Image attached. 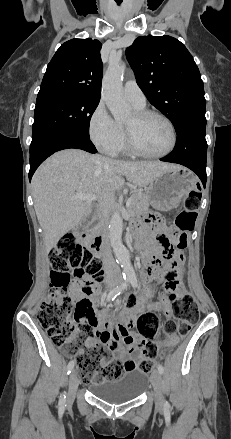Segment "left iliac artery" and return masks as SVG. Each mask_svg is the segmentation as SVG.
Listing matches in <instances>:
<instances>
[{
  "instance_id": "obj_1",
  "label": "left iliac artery",
  "mask_w": 231,
  "mask_h": 439,
  "mask_svg": "<svg viewBox=\"0 0 231 439\" xmlns=\"http://www.w3.org/2000/svg\"><path fill=\"white\" fill-rule=\"evenodd\" d=\"M130 284L132 287L136 288L138 286L137 279L135 277L130 278ZM158 371L162 374L164 372V367L162 365H158ZM164 406L166 408L170 407V404L166 401Z\"/></svg>"
}]
</instances>
